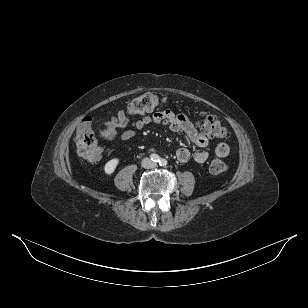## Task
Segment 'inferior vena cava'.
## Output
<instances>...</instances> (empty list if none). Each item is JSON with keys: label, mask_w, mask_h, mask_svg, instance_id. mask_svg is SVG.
Here are the masks:
<instances>
[{"label": "inferior vena cava", "mask_w": 308, "mask_h": 308, "mask_svg": "<svg viewBox=\"0 0 308 308\" xmlns=\"http://www.w3.org/2000/svg\"><path fill=\"white\" fill-rule=\"evenodd\" d=\"M142 166L144 168H147V169L155 168L156 167V163L154 161H152L151 159H149V158H145V159L142 160Z\"/></svg>", "instance_id": "1"}]
</instances>
